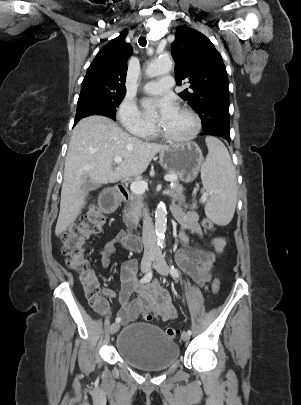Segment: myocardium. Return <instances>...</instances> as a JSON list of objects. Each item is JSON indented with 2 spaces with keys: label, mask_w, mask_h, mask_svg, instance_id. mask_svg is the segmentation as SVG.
Segmentation results:
<instances>
[{
  "label": "myocardium",
  "mask_w": 301,
  "mask_h": 405,
  "mask_svg": "<svg viewBox=\"0 0 301 405\" xmlns=\"http://www.w3.org/2000/svg\"><path fill=\"white\" fill-rule=\"evenodd\" d=\"M179 110L188 114L192 118L193 123H194L193 129L189 134H187L185 136H174V135L167 133L164 129L161 128V126L158 123H156V125H155L156 133L167 141L176 142V143L188 142V141L193 140L200 132L201 119H200L199 115L193 109L186 107V106L180 107Z\"/></svg>",
  "instance_id": "f54148a6"
}]
</instances>
